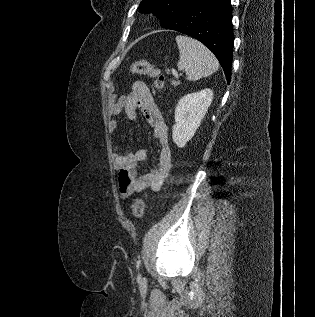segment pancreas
<instances>
[{"instance_id": "cf45deb5", "label": "pancreas", "mask_w": 315, "mask_h": 317, "mask_svg": "<svg viewBox=\"0 0 315 317\" xmlns=\"http://www.w3.org/2000/svg\"><path fill=\"white\" fill-rule=\"evenodd\" d=\"M174 85H176L177 83L175 81H172Z\"/></svg>"}]
</instances>
